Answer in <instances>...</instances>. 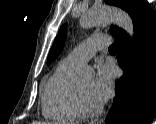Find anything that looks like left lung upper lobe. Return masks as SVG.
I'll return each instance as SVG.
<instances>
[{
    "mask_svg": "<svg viewBox=\"0 0 156 124\" xmlns=\"http://www.w3.org/2000/svg\"><path fill=\"white\" fill-rule=\"evenodd\" d=\"M145 0H105V2L109 5L117 6L128 12V14L131 16L133 19L135 14L137 13L138 9L142 5V3ZM122 29H118L116 26H112L110 28V32L112 34H118ZM66 38V24H64L60 32L58 33L53 46L50 50V53L48 55L47 63L50 64L52 60H54L58 54L60 53L61 49L63 48L64 42Z\"/></svg>",
    "mask_w": 156,
    "mask_h": 124,
    "instance_id": "obj_1",
    "label": "left lung upper lobe"
}]
</instances>
